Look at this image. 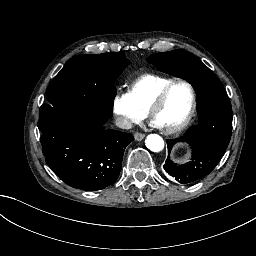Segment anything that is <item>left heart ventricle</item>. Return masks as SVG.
Segmentation results:
<instances>
[{"label": "left heart ventricle", "mask_w": 256, "mask_h": 256, "mask_svg": "<svg viewBox=\"0 0 256 256\" xmlns=\"http://www.w3.org/2000/svg\"><path fill=\"white\" fill-rule=\"evenodd\" d=\"M191 103L189 88L183 83H178L170 90L164 103L152 112V118L162 124L163 131L168 132L184 120Z\"/></svg>", "instance_id": "b2bd125f"}]
</instances>
